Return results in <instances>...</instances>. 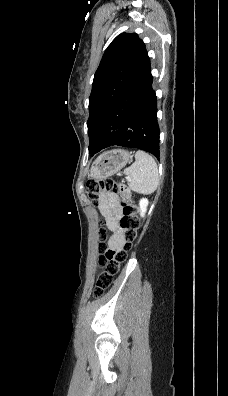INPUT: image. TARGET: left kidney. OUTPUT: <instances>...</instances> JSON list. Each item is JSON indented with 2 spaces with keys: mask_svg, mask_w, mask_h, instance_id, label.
Returning <instances> with one entry per match:
<instances>
[{
  "mask_svg": "<svg viewBox=\"0 0 228 396\" xmlns=\"http://www.w3.org/2000/svg\"><path fill=\"white\" fill-rule=\"evenodd\" d=\"M148 204H149V202H148V200L146 198H142L140 200L138 211L140 212V216L141 217L145 216Z\"/></svg>",
  "mask_w": 228,
  "mask_h": 396,
  "instance_id": "left-kidney-1",
  "label": "left kidney"
}]
</instances>
